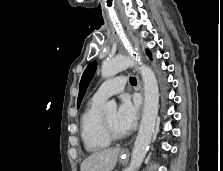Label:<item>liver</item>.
I'll list each match as a JSON object with an SVG mask.
<instances>
[{
	"label": "liver",
	"mask_w": 223,
	"mask_h": 171,
	"mask_svg": "<svg viewBox=\"0 0 223 171\" xmlns=\"http://www.w3.org/2000/svg\"><path fill=\"white\" fill-rule=\"evenodd\" d=\"M120 148L100 150L86 158L80 166V171H112L116 166Z\"/></svg>",
	"instance_id": "1"
}]
</instances>
